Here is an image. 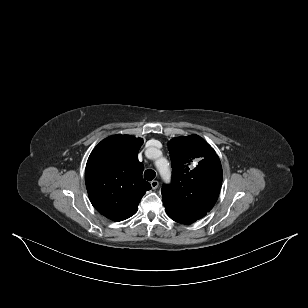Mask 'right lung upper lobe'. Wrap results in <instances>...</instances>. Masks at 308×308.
Wrapping results in <instances>:
<instances>
[{
	"label": "right lung upper lobe",
	"mask_w": 308,
	"mask_h": 308,
	"mask_svg": "<svg viewBox=\"0 0 308 308\" xmlns=\"http://www.w3.org/2000/svg\"><path fill=\"white\" fill-rule=\"evenodd\" d=\"M143 139L113 135L102 140L91 152L85 170L89 199L94 208L113 221L136 213L138 204L151 189L142 178L144 166L137 154Z\"/></svg>",
	"instance_id": "right-lung-upper-lobe-1"
}]
</instances>
